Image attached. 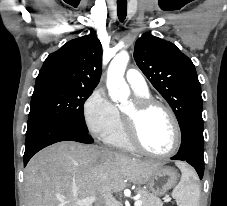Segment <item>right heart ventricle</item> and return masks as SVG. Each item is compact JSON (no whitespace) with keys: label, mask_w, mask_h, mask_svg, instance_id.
<instances>
[{"label":"right heart ventricle","mask_w":227,"mask_h":206,"mask_svg":"<svg viewBox=\"0 0 227 206\" xmlns=\"http://www.w3.org/2000/svg\"><path fill=\"white\" fill-rule=\"evenodd\" d=\"M138 97L145 98L148 97L146 94H138ZM118 111V110H117ZM105 141L116 148L125 150V151H134V147L129 143L126 138L124 131V124L122 118L118 112V122L115 128L105 137Z\"/></svg>","instance_id":"right-heart-ventricle-1"}]
</instances>
